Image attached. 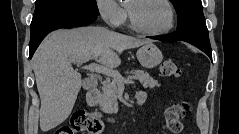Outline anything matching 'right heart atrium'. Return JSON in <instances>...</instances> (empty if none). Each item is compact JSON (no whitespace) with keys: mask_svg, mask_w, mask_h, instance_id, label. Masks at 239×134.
Returning <instances> with one entry per match:
<instances>
[{"mask_svg":"<svg viewBox=\"0 0 239 134\" xmlns=\"http://www.w3.org/2000/svg\"><path fill=\"white\" fill-rule=\"evenodd\" d=\"M98 13L103 21L111 27L121 26L126 19L125 9L115 0H97Z\"/></svg>","mask_w":239,"mask_h":134,"instance_id":"obj_1","label":"right heart atrium"}]
</instances>
